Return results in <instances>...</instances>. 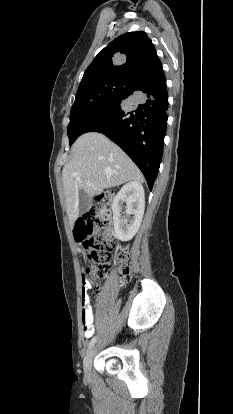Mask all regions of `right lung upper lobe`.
Wrapping results in <instances>:
<instances>
[{
	"label": "right lung upper lobe",
	"instance_id": "obj_1",
	"mask_svg": "<svg viewBox=\"0 0 233 414\" xmlns=\"http://www.w3.org/2000/svg\"><path fill=\"white\" fill-rule=\"evenodd\" d=\"M162 70V63L147 34L129 32L98 53L86 69L78 89L106 78L137 81Z\"/></svg>",
	"mask_w": 233,
	"mask_h": 414
}]
</instances>
